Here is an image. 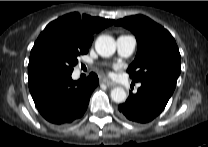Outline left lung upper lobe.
I'll return each mask as SVG.
<instances>
[{
  "label": "left lung upper lobe",
  "mask_w": 208,
  "mask_h": 147,
  "mask_svg": "<svg viewBox=\"0 0 208 147\" xmlns=\"http://www.w3.org/2000/svg\"><path fill=\"white\" fill-rule=\"evenodd\" d=\"M115 24L129 29L137 39V54L127 69L133 82L157 79L175 87L181 58L169 31L143 15L125 17Z\"/></svg>",
  "instance_id": "obj_1"
}]
</instances>
